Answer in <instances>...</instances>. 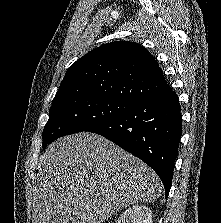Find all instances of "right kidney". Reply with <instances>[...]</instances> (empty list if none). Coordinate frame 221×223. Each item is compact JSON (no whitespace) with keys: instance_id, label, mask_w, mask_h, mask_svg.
<instances>
[{"instance_id":"1","label":"right kidney","mask_w":221,"mask_h":223,"mask_svg":"<svg viewBox=\"0 0 221 223\" xmlns=\"http://www.w3.org/2000/svg\"><path fill=\"white\" fill-rule=\"evenodd\" d=\"M116 223H152V212L148 206L135 205L125 210Z\"/></svg>"}]
</instances>
